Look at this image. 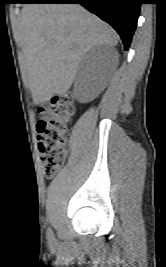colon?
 <instances>
[{"mask_svg":"<svg viewBox=\"0 0 166 267\" xmlns=\"http://www.w3.org/2000/svg\"><path fill=\"white\" fill-rule=\"evenodd\" d=\"M75 101L71 95L55 97L49 105L38 109L39 150L46 177H53L66 158L68 125L75 115Z\"/></svg>","mask_w":166,"mask_h":267,"instance_id":"1","label":"colon"}]
</instances>
